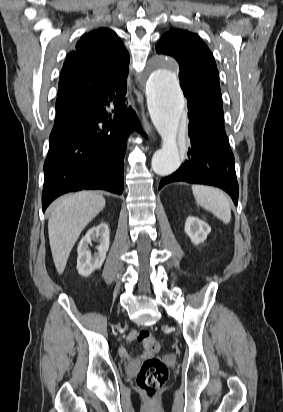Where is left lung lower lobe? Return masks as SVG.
Wrapping results in <instances>:
<instances>
[{"label":"left lung lower lobe","mask_w":283,"mask_h":412,"mask_svg":"<svg viewBox=\"0 0 283 412\" xmlns=\"http://www.w3.org/2000/svg\"><path fill=\"white\" fill-rule=\"evenodd\" d=\"M191 147L185 163L161 179L159 189L172 182H188L219 187L238 203V183L234 156L224 128V116L210 114L188 102Z\"/></svg>","instance_id":"1"}]
</instances>
